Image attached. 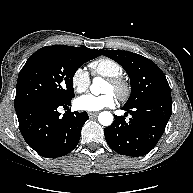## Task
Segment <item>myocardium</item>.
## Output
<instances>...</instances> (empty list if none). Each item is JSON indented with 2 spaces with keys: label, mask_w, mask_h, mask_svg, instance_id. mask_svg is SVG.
I'll return each instance as SVG.
<instances>
[{
  "label": "myocardium",
  "mask_w": 193,
  "mask_h": 193,
  "mask_svg": "<svg viewBox=\"0 0 193 193\" xmlns=\"http://www.w3.org/2000/svg\"><path fill=\"white\" fill-rule=\"evenodd\" d=\"M107 82L111 84L114 95L120 100L125 101L131 93L129 82L123 76L108 77Z\"/></svg>",
  "instance_id": "obj_1"
}]
</instances>
